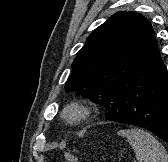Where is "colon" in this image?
<instances>
[{
  "label": "colon",
  "mask_w": 168,
  "mask_h": 162,
  "mask_svg": "<svg viewBox=\"0 0 168 162\" xmlns=\"http://www.w3.org/2000/svg\"><path fill=\"white\" fill-rule=\"evenodd\" d=\"M64 161L65 162H77V158L73 154H65Z\"/></svg>",
  "instance_id": "obj_1"
}]
</instances>
